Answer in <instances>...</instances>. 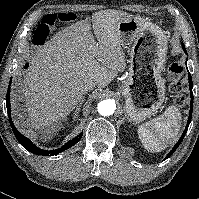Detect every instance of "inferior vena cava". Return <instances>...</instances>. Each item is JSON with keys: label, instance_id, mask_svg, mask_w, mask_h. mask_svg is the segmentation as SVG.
<instances>
[{"label": "inferior vena cava", "instance_id": "obj_1", "mask_svg": "<svg viewBox=\"0 0 199 199\" xmlns=\"http://www.w3.org/2000/svg\"><path fill=\"white\" fill-rule=\"evenodd\" d=\"M95 85H96L95 82L89 81V82L85 85L84 89H85V91L91 90L93 87H95Z\"/></svg>", "mask_w": 199, "mask_h": 199}]
</instances>
